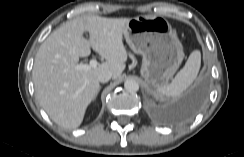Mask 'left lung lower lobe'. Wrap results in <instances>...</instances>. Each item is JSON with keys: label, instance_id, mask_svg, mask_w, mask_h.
Segmentation results:
<instances>
[{"label": "left lung lower lobe", "instance_id": "left-lung-lower-lobe-1", "mask_svg": "<svg viewBox=\"0 0 244 157\" xmlns=\"http://www.w3.org/2000/svg\"><path fill=\"white\" fill-rule=\"evenodd\" d=\"M204 95V86H199L183 96L177 106V118L183 120L192 117L200 108Z\"/></svg>", "mask_w": 244, "mask_h": 157}]
</instances>
